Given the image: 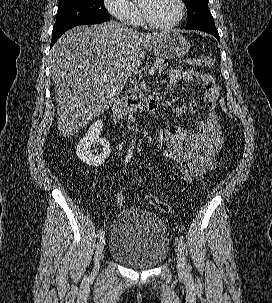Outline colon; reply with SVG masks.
Instances as JSON below:
<instances>
[{"label":"colon","mask_w":272,"mask_h":303,"mask_svg":"<svg viewBox=\"0 0 272 303\" xmlns=\"http://www.w3.org/2000/svg\"><path fill=\"white\" fill-rule=\"evenodd\" d=\"M183 62L185 64L193 65V66H197V67H210L214 63V57L211 55H206V56L199 57V58H187V59H184ZM220 108L224 113H228V109H227L226 102L224 99L220 100ZM145 200L149 205L154 206L155 208H157L158 210H160L164 213L171 212V207L167 203L161 201L154 195H151V194L146 195ZM116 202L119 206H121L123 204L124 198L121 193L117 194Z\"/></svg>","instance_id":"obj_1"}]
</instances>
